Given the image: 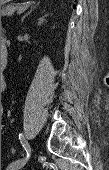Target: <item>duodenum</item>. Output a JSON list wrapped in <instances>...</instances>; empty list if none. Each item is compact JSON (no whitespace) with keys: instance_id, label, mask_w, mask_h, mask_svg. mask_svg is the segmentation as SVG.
I'll return each instance as SVG.
<instances>
[{"instance_id":"410a0bca","label":"duodenum","mask_w":109,"mask_h":170,"mask_svg":"<svg viewBox=\"0 0 109 170\" xmlns=\"http://www.w3.org/2000/svg\"><path fill=\"white\" fill-rule=\"evenodd\" d=\"M4 62H6V56H5V58H4Z\"/></svg>"}]
</instances>
